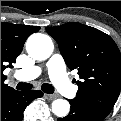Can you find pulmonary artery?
Masks as SVG:
<instances>
[{
    "instance_id": "e3ab8cb5",
    "label": "pulmonary artery",
    "mask_w": 121,
    "mask_h": 121,
    "mask_svg": "<svg viewBox=\"0 0 121 121\" xmlns=\"http://www.w3.org/2000/svg\"><path fill=\"white\" fill-rule=\"evenodd\" d=\"M49 77L55 84L56 88L63 94L74 97L76 89L67 79L64 73V66L62 57L59 55L52 56L46 63ZM42 72L41 66H32L25 69H21L15 72V77L28 81L38 77Z\"/></svg>"
}]
</instances>
